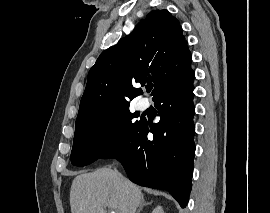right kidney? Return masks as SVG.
Returning <instances> with one entry per match:
<instances>
[{
    "instance_id": "1",
    "label": "right kidney",
    "mask_w": 270,
    "mask_h": 213,
    "mask_svg": "<svg viewBox=\"0 0 270 213\" xmlns=\"http://www.w3.org/2000/svg\"><path fill=\"white\" fill-rule=\"evenodd\" d=\"M152 213H164V211L161 206H157L156 208H154Z\"/></svg>"
}]
</instances>
